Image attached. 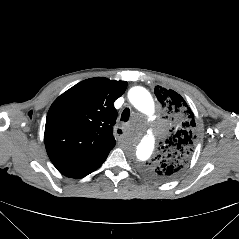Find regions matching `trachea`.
<instances>
[{
  "label": "trachea",
  "instance_id": "3493384b",
  "mask_svg": "<svg viewBox=\"0 0 239 239\" xmlns=\"http://www.w3.org/2000/svg\"><path fill=\"white\" fill-rule=\"evenodd\" d=\"M130 117V110L129 108L124 109V111L121 114V121L127 122Z\"/></svg>",
  "mask_w": 239,
  "mask_h": 239
}]
</instances>
